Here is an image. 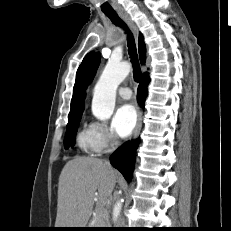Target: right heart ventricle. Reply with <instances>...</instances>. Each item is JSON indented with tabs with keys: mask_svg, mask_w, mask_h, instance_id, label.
Masks as SVG:
<instances>
[{
	"mask_svg": "<svg viewBox=\"0 0 231 231\" xmlns=\"http://www.w3.org/2000/svg\"><path fill=\"white\" fill-rule=\"evenodd\" d=\"M77 144L83 152L90 155H96L102 151L91 125L84 126L79 131L77 135Z\"/></svg>",
	"mask_w": 231,
	"mask_h": 231,
	"instance_id": "right-heart-ventricle-1",
	"label": "right heart ventricle"
}]
</instances>
